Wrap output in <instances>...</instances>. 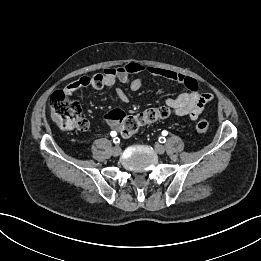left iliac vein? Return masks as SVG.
<instances>
[{
    "mask_svg": "<svg viewBox=\"0 0 261 261\" xmlns=\"http://www.w3.org/2000/svg\"><path fill=\"white\" fill-rule=\"evenodd\" d=\"M154 149L158 154H163L165 152V147L161 144H155Z\"/></svg>",
    "mask_w": 261,
    "mask_h": 261,
    "instance_id": "4c4485c4",
    "label": "left iliac vein"
}]
</instances>
